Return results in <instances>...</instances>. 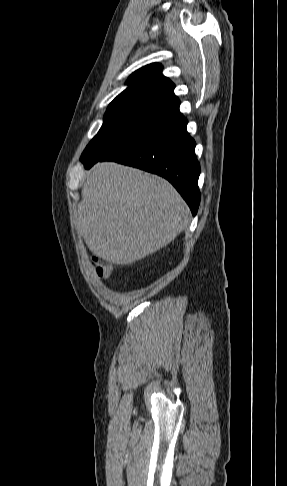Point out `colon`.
Instances as JSON below:
<instances>
[{"instance_id": "5ec220e1", "label": "colon", "mask_w": 287, "mask_h": 486, "mask_svg": "<svg viewBox=\"0 0 287 486\" xmlns=\"http://www.w3.org/2000/svg\"><path fill=\"white\" fill-rule=\"evenodd\" d=\"M94 260H95V268H96L97 274L102 278L109 277L111 272H112L113 267L109 264L101 262L97 258H95Z\"/></svg>"}]
</instances>
